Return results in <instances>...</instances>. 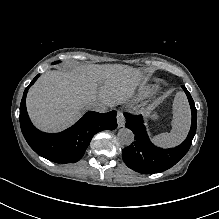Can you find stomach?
I'll use <instances>...</instances> for the list:
<instances>
[{
	"label": "stomach",
	"instance_id": "1",
	"mask_svg": "<svg viewBox=\"0 0 219 219\" xmlns=\"http://www.w3.org/2000/svg\"><path fill=\"white\" fill-rule=\"evenodd\" d=\"M149 117L152 118L153 120H156L158 118L156 113L150 114Z\"/></svg>",
	"mask_w": 219,
	"mask_h": 219
}]
</instances>
